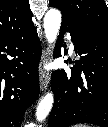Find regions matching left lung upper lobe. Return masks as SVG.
<instances>
[{
    "instance_id": "left-lung-upper-lobe-1",
    "label": "left lung upper lobe",
    "mask_w": 108,
    "mask_h": 127,
    "mask_svg": "<svg viewBox=\"0 0 108 127\" xmlns=\"http://www.w3.org/2000/svg\"><path fill=\"white\" fill-rule=\"evenodd\" d=\"M61 10L63 21L73 22L91 34L108 36V7L104 0H50Z\"/></svg>"
}]
</instances>
